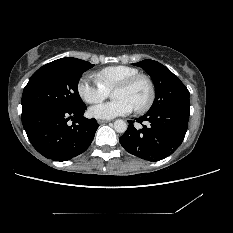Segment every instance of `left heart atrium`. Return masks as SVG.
<instances>
[{
	"label": "left heart atrium",
	"mask_w": 233,
	"mask_h": 233,
	"mask_svg": "<svg viewBox=\"0 0 233 233\" xmlns=\"http://www.w3.org/2000/svg\"><path fill=\"white\" fill-rule=\"evenodd\" d=\"M134 107L125 99L101 103L91 108V114L98 119H112L131 113Z\"/></svg>",
	"instance_id": "1"
}]
</instances>
